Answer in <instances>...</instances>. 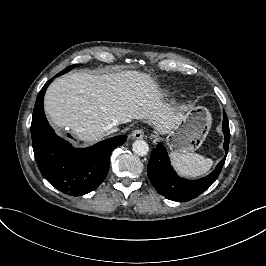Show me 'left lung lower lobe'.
I'll list each match as a JSON object with an SVG mask.
<instances>
[{"instance_id": "obj_1", "label": "left lung lower lobe", "mask_w": 266, "mask_h": 266, "mask_svg": "<svg viewBox=\"0 0 266 266\" xmlns=\"http://www.w3.org/2000/svg\"><path fill=\"white\" fill-rule=\"evenodd\" d=\"M222 128L225 135L223 146L226 150V155L212 173L197 180L179 177L170 164L165 147L163 144H157L156 148L151 152L147 173L152 185L159 194L173 201L186 202L198 197L215 182L224 165L230 141L229 124L225 111L223 112Z\"/></svg>"}]
</instances>
